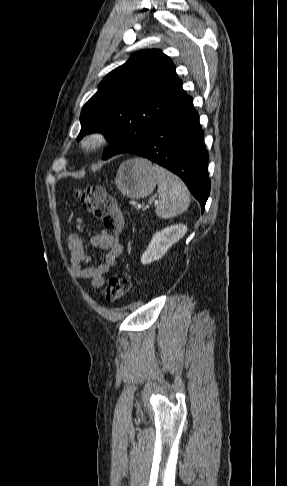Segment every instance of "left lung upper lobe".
<instances>
[{"label":"left lung upper lobe","mask_w":287,"mask_h":486,"mask_svg":"<svg viewBox=\"0 0 287 486\" xmlns=\"http://www.w3.org/2000/svg\"><path fill=\"white\" fill-rule=\"evenodd\" d=\"M184 94L167 55L156 49L139 51L110 72L84 105L77 139L91 132L105 134L111 144L103 153L105 160L129 152Z\"/></svg>","instance_id":"obj_1"}]
</instances>
